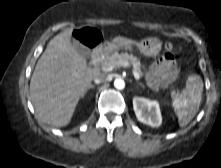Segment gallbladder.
<instances>
[{"label": "gallbladder", "instance_id": "gallbladder-1", "mask_svg": "<svg viewBox=\"0 0 221 168\" xmlns=\"http://www.w3.org/2000/svg\"><path fill=\"white\" fill-rule=\"evenodd\" d=\"M73 46H74V48L76 49V51H77L81 56H83L84 58L87 59V58L90 57V51H89V49H88L86 46L80 44V43L77 42V41H74V42H73Z\"/></svg>", "mask_w": 221, "mask_h": 168}]
</instances>
